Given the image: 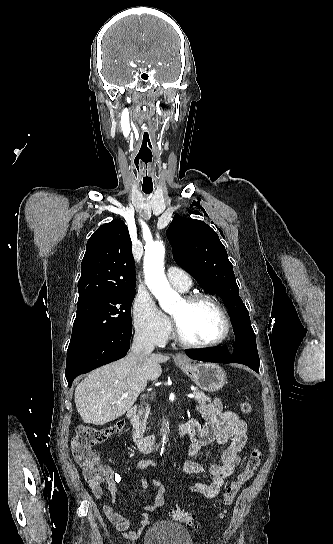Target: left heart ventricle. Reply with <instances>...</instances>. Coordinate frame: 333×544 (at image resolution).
<instances>
[{
  "label": "left heart ventricle",
  "instance_id": "b2bd125f",
  "mask_svg": "<svg viewBox=\"0 0 333 544\" xmlns=\"http://www.w3.org/2000/svg\"><path fill=\"white\" fill-rule=\"evenodd\" d=\"M171 314L183 335L193 342H210L223 332V318L217 307L210 302L188 306L181 301Z\"/></svg>",
  "mask_w": 333,
  "mask_h": 544
}]
</instances>
